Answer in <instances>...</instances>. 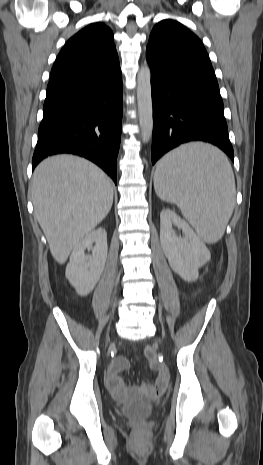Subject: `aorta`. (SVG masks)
Instances as JSON below:
<instances>
[{"instance_id":"1","label":"aorta","mask_w":263,"mask_h":465,"mask_svg":"<svg viewBox=\"0 0 263 465\" xmlns=\"http://www.w3.org/2000/svg\"><path fill=\"white\" fill-rule=\"evenodd\" d=\"M136 93L141 139L147 143L153 131L151 71L148 65L142 66L138 72Z\"/></svg>"}]
</instances>
